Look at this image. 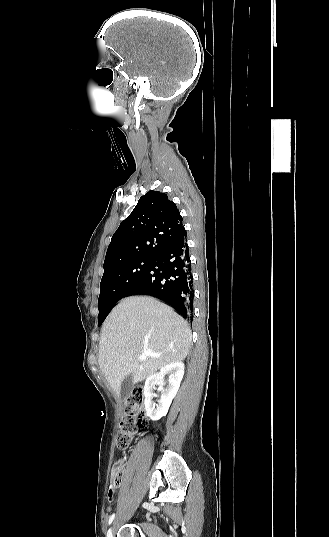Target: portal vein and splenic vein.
<instances>
[{"mask_svg": "<svg viewBox=\"0 0 329 537\" xmlns=\"http://www.w3.org/2000/svg\"><path fill=\"white\" fill-rule=\"evenodd\" d=\"M147 356H153V357H155V356H157V354L152 353V352H147V353H145V354H143V355H140V356L138 357V359H139L140 361H144V360L146 359Z\"/></svg>", "mask_w": 329, "mask_h": 537, "instance_id": "18ae733b", "label": "portal vein and splenic vein"}]
</instances>
